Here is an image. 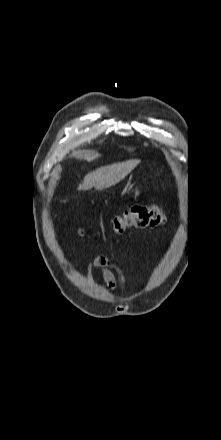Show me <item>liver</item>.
<instances>
[{"instance_id":"obj_1","label":"liver","mask_w":221,"mask_h":440,"mask_svg":"<svg viewBox=\"0 0 221 440\" xmlns=\"http://www.w3.org/2000/svg\"><path fill=\"white\" fill-rule=\"evenodd\" d=\"M139 163V159H132L100 167L87 174L77 189L79 191H87L93 187L96 190L109 188L124 179Z\"/></svg>"}]
</instances>
